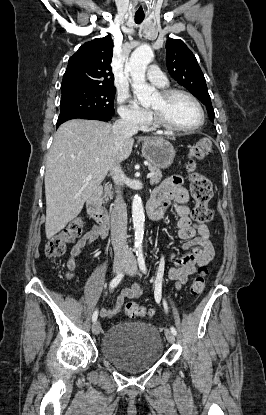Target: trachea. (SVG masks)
Here are the masks:
<instances>
[{
    "label": "trachea",
    "mask_w": 266,
    "mask_h": 415,
    "mask_svg": "<svg viewBox=\"0 0 266 415\" xmlns=\"http://www.w3.org/2000/svg\"><path fill=\"white\" fill-rule=\"evenodd\" d=\"M143 20H144V16L143 15H135V22L137 24H140Z\"/></svg>",
    "instance_id": "trachea-1"
}]
</instances>
